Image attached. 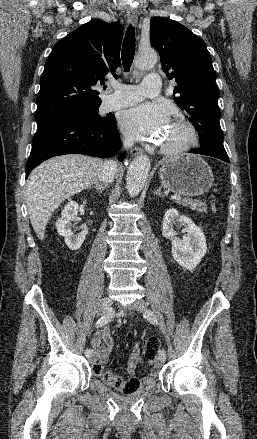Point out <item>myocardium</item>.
Wrapping results in <instances>:
<instances>
[{"label": "myocardium", "instance_id": "myocardium-1", "mask_svg": "<svg viewBox=\"0 0 257 439\" xmlns=\"http://www.w3.org/2000/svg\"><path fill=\"white\" fill-rule=\"evenodd\" d=\"M172 125L181 127L185 130L187 139L183 144L175 146L162 145L161 152L167 156H179L194 149L198 144V136L195 128L191 123L185 120H175Z\"/></svg>", "mask_w": 257, "mask_h": 439}]
</instances>
